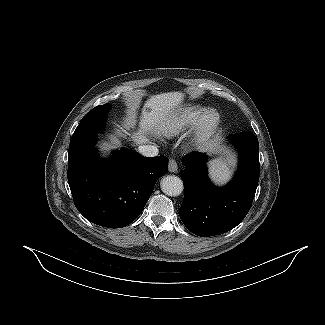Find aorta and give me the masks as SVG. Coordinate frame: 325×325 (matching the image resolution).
Here are the masks:
<instances>
[{
  "mask_svg": "<svg viewBox=\"0 0 325 325\" xmlns=\"http://www.w3.org/2000/svg\"><path fill=\"white\" fill-rule=\"evenodd\" d=\"M160 186L164 194L173 197L180 195L184 189L182 180L175 175L163 177Z\"/></svg>",
  "mask_w": 325,
  "mask_h": 325,
  "instance_id": "1",
  "label": "aorta"
}]
</instances>
